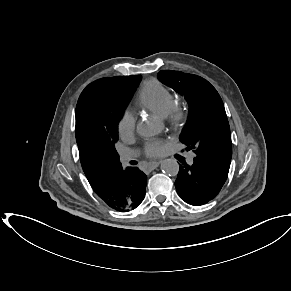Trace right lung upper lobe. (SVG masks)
<instances>
[{"label": "right lung upper lobe", "instance_id": "1", "mask_svg": "<svg viewBox=\"0 0 291 291\" xmlns=\"http://www.w3.org/2000/svg\"><path fill=\"white\" fill-rule=\"evenodd\" d=\"M84 94L81 93L76 106V141L83 171L95 193L105 201L115 186L112 173L121 163L119 156L105 151L99 145L96 138V113L91 103L84 101Z\"/></svg>", "mask_w": 291, "mask_h": 291}]
</instances>
